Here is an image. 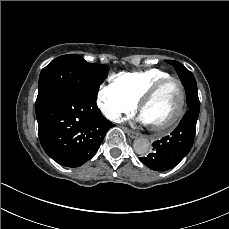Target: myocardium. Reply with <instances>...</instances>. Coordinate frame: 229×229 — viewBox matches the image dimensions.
Here are the masks:
<instances>
[{"mask_svg":"<svg viewBox=\"0 0 229 229\" xmlns=\"http://www.w3.org/2000/svg\"><path fill=\"white\" fill-rule=\"evenodd\" d=\"M171 81L178 82L174 85L175 90V106L173 108L172 114L168 117V119L165 121V125L161 124L159 128L151 127V129L159 136L169 134L172 132L184 119V117L187 115L189 106H190V97L187 91V88L185 86V83L183 80L176 76H169L160 82H158L153 88L150 89V91L146 94V96L142 99V101H139L137 103V108L139 109L140 114L144 110L146 103L150 100V98L163 86H165L167 83ZM184 108V109H183ZM183 109L182 113L181 110Z\"/></svg>","mask_w":229,"mask_h":229,"instance_id":"obj_1","label":"myocardium"}]
</instances>
